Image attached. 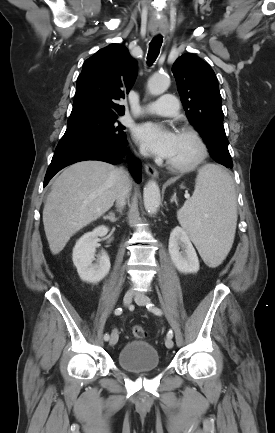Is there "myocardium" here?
<instances>
[{
  "instance_id": "f54148a6",
  "label": "myocardium",
  "mask_w": 275,
  "mask_h": 433,
  "mask_svg": "<svg viewBox=\"0 0 275 433\" xmlns=\"http://www.w3.org/2000/svg\"><path fill=\"white\" fill-rule=\"evenodd\" d=\"M179 133L188 135L196 141L199 149L198 156L194 161L186 165L175 164L169 160L166 161V165L173 171L179 173H189L197 169L205 161L208 155V145L200 132L192 127H182L179 130Z\"/></svg>"
}]
</instances>
